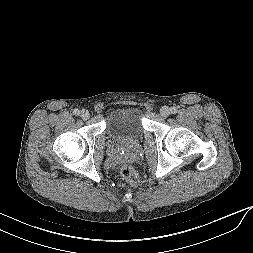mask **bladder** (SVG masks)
I'll use <instances>...</instances> for the list:
<instances>
[{"label": "bladder", "mask_w": 253, "mask_h": 253, "mask_svg": "<svg viewBox=\"0 0 253 253\" xmlns=\"http://www.w3.org/2000/svg\"><path fill=\"white\" fill-rule=\"evenodd\" d=\"M143 110L136 105H123L111 111L105 120V131L117 142L139 139L144 133Z\"/></svg>", "instance_id": "1"}]
</instances>
